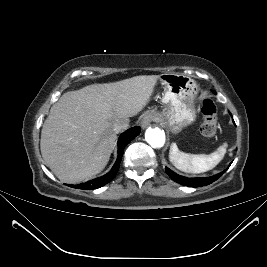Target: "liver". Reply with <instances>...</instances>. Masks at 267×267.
<instances>
[{"label":"liver","mask_w":267,"mask_h":267,"mask_svg":"<svg viewBox=\"0 0 267 267\" xmlns=\"http://www.w3.org/2000/svg\"><path fill=\"white\" fill-rule=\"evenodd\" d=\"M158 75L93 84L64 93L51 107L41 131L47 167L64 183L101 172L115 146V123L129 121L151 100Z\"/></svg>","instance_id":"6515ba94"}]
</instances>
